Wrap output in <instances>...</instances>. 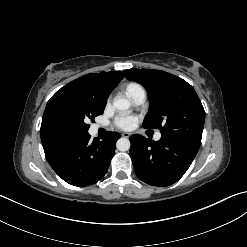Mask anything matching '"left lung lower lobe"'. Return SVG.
Returning a JSON list of instances; mask_svg holds the SVG:
<instances>
[{
  "label": "left lung lower lobe",
  "mask_w": 247,
  "mask_h": 247,
  "mask_svg": "<svg viewBox=\"0 0 247 247\" xmlns=\"http://www.w3.org/2000/svg\"><path fill=\"white\" fill-rule=\"evenodd\" d=\"M130 157L140 180L154 186H169L187 171L199 146L181 137L162 135L152 141L139 134L129 138Z\"/></svg>",
  "instance_id": "0a47b994"
}]
</instances>
